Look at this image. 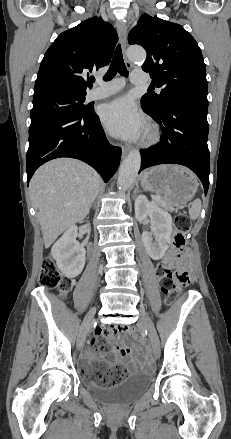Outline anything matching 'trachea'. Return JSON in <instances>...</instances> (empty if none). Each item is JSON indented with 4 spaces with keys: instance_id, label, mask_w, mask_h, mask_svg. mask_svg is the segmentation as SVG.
Here are the masks:
<instances>
[{
    "instance_id": "trachea-1",
    "label": "trachea",
    "mask_w": 231,
    "mask_h": 439,
    "mask_svg": "<svg viewBox=\"0 0 231 439\" xmlns=\"http://www.w3.org/2000/svg\"><path fill=\"white\" fill-rule=\"evenodd\" d=\"M117 72L122 76H125V77L128 76V71L126 69V66H125V63L123 60V55H122V50H121L120 45H118L116 47L112 62L110 64V67H109L107 73L103 77V80L110 81L117 74ZM92 81L94 82L95 79L92 78ZM149 90H151V89H149Z\"/></svg>"
}]
</instances>
